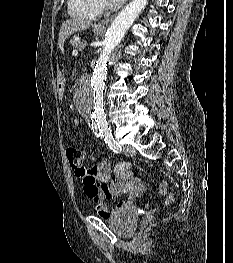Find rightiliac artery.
Here are the masks:
<instances>
[{
  "instance_id": "1",
  "label": "right iliac artery",
  "mask_w": 233,
  "mask_h": 263,
  "mask_svg": "<svg viewBox=\"0 0 233 263\" xmlns=\"http://www.w3.org/2000/svg\"><path fill=\"white\" fill-rule=\"evenodd\" d=\"M101 134H97V137H99Z\"/></svg>"
}]
</instances>
